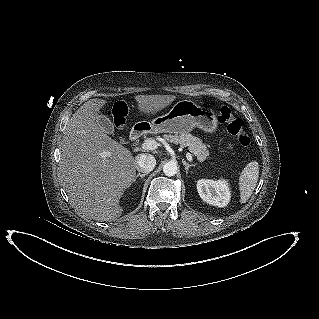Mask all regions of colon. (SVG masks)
Listing matches in <instances>:
<instances>
[{"mask_svg": "<svg viewBox=\"0 0 319 319\" xmlns=\"http://www.w3.org/2000/svg\"><path fill=\"white\" fill-rule=\"evenodd\" d=\"M110 116L114 125L117 128H122L127 116L126 104L122 101H117L110 111ZM218 120L220 123L226 125L228 132L236 137L237 142L241 146L247 147L250 145V138L244 130L242 119L235 116L228 107L220 109Z\"/></svg>", "mask_w": 319, "mask_h": 319, "instance_id": "1", "label": "colon"}]
</instances>
